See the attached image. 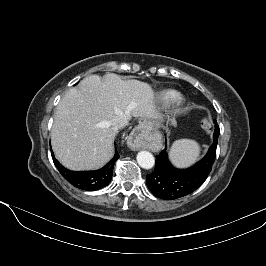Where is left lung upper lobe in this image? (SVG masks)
<instances>
[{"label":"left lung upper lobe","instance_id":"1","mask_svg":"<svg viewBox=\"0 0 266 266\" xmlns=\"http://www.w3.org/2000/svg\"><path fill=\"white\" fill-rule=\"evenodd\" d=\"M214 123H215V131H214V134H216L217 133V131H216V129H217V122H216V120H214Z\"/></svg>","mask_w":266,"mask_h":266}]
</instances>
